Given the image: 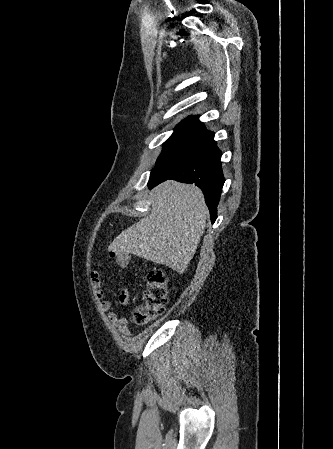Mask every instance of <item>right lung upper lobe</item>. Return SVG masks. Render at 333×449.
<instances>
[{
  "label": "right lung upper lobe",
  "mask_w": 333,
  "mask_h": 449,
  "mask_svg": "<svg viewBox=\"0 0 333 449\" xmlns=\"http://www.w3.org/2000/svg\"><path fill=\"white\" fill-rule=\"evenodd\" d=\"M178 126L184 128L200 129L202 131L205 130L203 123L198 120V116H189L188 118L181 121Z\"/></svg>",
  "instance_id": "1"
}]
</instances>
